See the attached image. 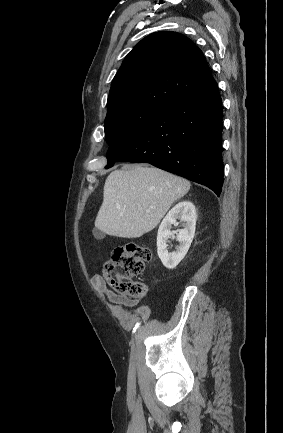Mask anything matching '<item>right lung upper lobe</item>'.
Wrapping results in <instances>:
<instances>
[{
    "label": "right lung upper lobe",
    "instance_id": "1",
    "mask_svg": "<svg viewBox=\"0 0 283 433\" xmlns=\"http://www.w3.org/2000/svg\"><path fill=\"white\" fill-rule=\"evenodd\" d=\"M214 82L202 51L189 38L156 32L125 57L112 81L107 108L137 104L164 109Z\"/></svg>",
    "mask_w": 283,
    "mask_h": 433
}]
</instances>
